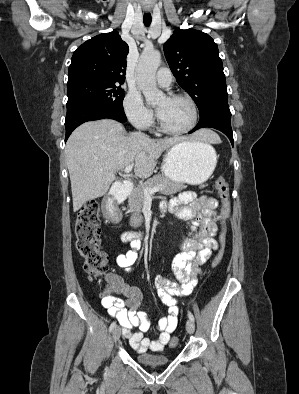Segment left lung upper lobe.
I'll return each instance as SVG.
<instances>
[{
  "instance_id": "1",
  "label": "left lung upper lobe",
  "mask_w": 299,
  "mask_h": 394,
  "mask_svg": "<svg viewBox=\"0 0 299 394\" xmlns=\"http://www.w3.org/2000/svg\"><path fill=\"white\" fill-rule=\"evenodd\" d=\"M163 49L177 83L193 98L200 115L213 106L228 104L218 46L208 34L177 28Z\"/></svg>"
}]
</instances>
